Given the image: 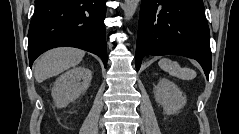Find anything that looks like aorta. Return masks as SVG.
<instances>
[{
  "instance_id": "1",
  "label": "aorta",
  "mask_w": 239,
  "mask_h": 134,
  "mask_svg": "<svg viewBox=\"0 0 239 134\" xmlns=\"http://www.w3.org/2000/svg\"><path fill=\"white\" fill-rule=\"evenodd\" d=\"M140 0H125V4L123 7L124 16L127 21L132 19L133 15L136 12V9L139 5Z\"/></svg>"
}]
</instances>
